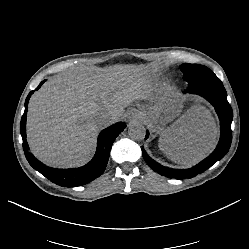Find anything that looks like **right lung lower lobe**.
I'll list each match as a JSON object with an SVG mask.
<instances>
[{"label": "right lung lower lobe", "mask_w": 249, "mask_h": 249, "mask_svg": "<svg viewBox=\"0 0 249 249\" xmlns=\"http://www.w3.org/2000/svg\"><path fill=\"white\" fill-rule=\"evenodd\" d=\"M44 82L45 80L40 83L36 90H38ZM33 92L34 91H31L26 98L25 111L20 123L23 150L30 165L50 181L63 187L81 186L99 177L107 166L110 150L115 138L125 129L126 124L118 122L101 131L97 141L96 154L85 166L72 169H54L47 167L28 151L29 147L26 141V113L28 101Z\"/></svg>", "instance_id": "right-lung-lower-lobe-1"}]
</instances>
